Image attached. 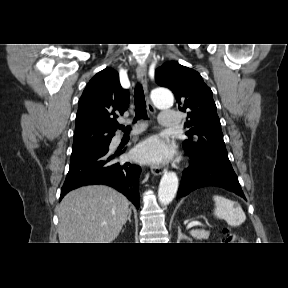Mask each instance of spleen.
Listing matches in <instances>:
<instances>
[{"instance_id": "1", "label": "spleen", "mask_w": 288, "mask_h": 288, "mask_svg": "<svg viewBox=\"0 0 288 288\" xmlns=\"http://www.w3.org/2000/svg\"><path fill=\"white\" fill-rule=\"evenodd\" d=\"M213 200L215 217L224 219L228 225L236 227L246 220V215L239 203L219 195H215Z\"/></svg>"}]
</instances>
